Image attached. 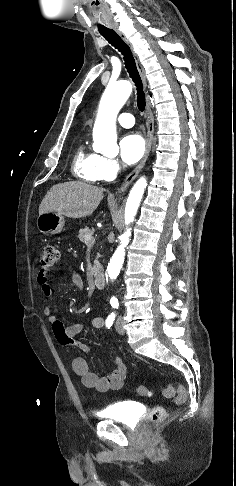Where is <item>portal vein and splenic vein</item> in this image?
<instances>
[{
    "label": "portal vein and splenic vein",
    "instance_id": "obj_1",
    "mask_svg": "<svg viewBox=\"0 0 236 486\" xmlns=\"http://www.w3.org/2000/svg\"><path fill=\"white\" fill-rule=\"evenodd\" d=\"M91 239H92V237H91V236H86V237H85V241H90Z\"/></svg>",
    "mask_w": 236,
    "mask_h": 486
}]
</instances>
